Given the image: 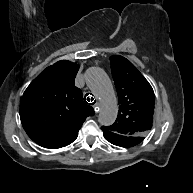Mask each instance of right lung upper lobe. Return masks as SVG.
Returning a JSON list of instances; mask_svg holds the SVG:
<instances>
[{
	"label": "right lung upper lobe",
	"instance_id": "obj_1",
	"mask_svg": "<svg viewBox=\"0 0 193 193\" xmlns=\"http://www.w3.org/2000/svg\"><path fill=\"white\" fill-rule=\"evenodd\" d=\"M79 66L62 60L47 67L24 92L20 118L28 136L56 149L72 143L84 120L94 115L74 85Z\"/></svg>",
	"mask_w": 193,
	"mask_h": 193
}]
</instances>
